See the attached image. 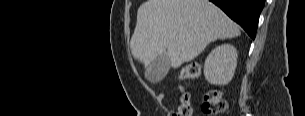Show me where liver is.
Here are the masks:
<instances>
[{
    "mask_svg": "<svg viewBox=\"0 0 305 116\" xmlns=\"http://www.w3.org/2000/svg\"><path fill=\"white\" fill-rule=\"evenodd\" d=\"M239 35L238 25L209 0H147L137 12L131 51L145 67L166 51L178 68L211 41Z\"/></svg>",
    "mask_w": 305,
    "mask_h": 116,
    "instance_id": "6515ba94",
    "label": "liver"
}]
</instances>
